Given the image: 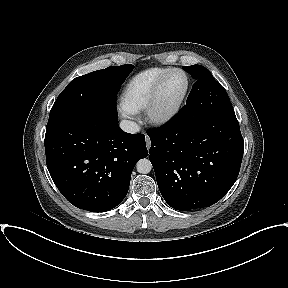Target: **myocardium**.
<instances>
[{
  "mask_svg": "<svg viewBox=\"0 0 288 288\" xmlns=\"http://www.w3.org/2000/svg\"><path fill=\"white\" fill-rule=\"evenodd\" d=\"M174 72H179L184 76L185 87H184V90H183L180 98L173 105V107L167 111L161 112L158 109L161 91H162L163 85H164L165 81L167 80V78L169 77V75L174 73ZM188 90H189V77L183 69L170 68L169 70H167L156 82L154 89H153V92H152V96L150 98V101H149L147 107L145 108L148 120L155 125H163V124H166L167 122H169L170 120H172L180 111L182 104H183V102L187 96Z\"/></svg>",
  "mask_w": 288,
  "mask_h": 288,
  "instance_id": "f54148a6",
  "label": "myocardium"
}]
</instances>
